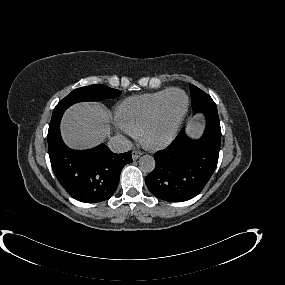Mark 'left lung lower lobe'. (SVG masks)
Returning <instances> with one entry per match:
<instances>
[{
	"label": "left lung lower lobe",
	"instance_id": "obj_1",
	"mask_svg": "<svg viewBox=\"0 0 285 285\" xmlns=\"http://www.w3.org/2000/svg\"><path fill=\"white\" fill-rule=\"evenodd\" d=\"M195 113L206 117L203 136L192 140L183 129L166 149L154 154L156 167L145 182L159 199L183 202L195 197L217 166L221 128L216 104L205 105Z\"/></svg>",
	"mask_w": 285,
	"mask_h": 285
}]
</instances>
